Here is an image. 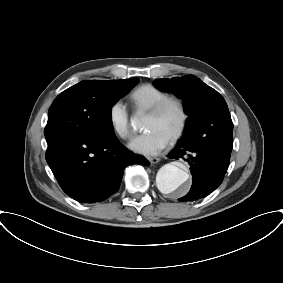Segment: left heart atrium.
<instances>
[{
    "mask_svg": "<svg viewBox=\"0 0 283 283\" xmlns=\"http://www.w3.org/2000/svg\"><path fill=\"white\" fill-rule=\"evenodd\" d=\"M168 143V138L156 130H148L131 140L129 148L143 155H156Z\"/></svg>",
    "mask_w": 283,
    "mask_h": 283,
    "instance_id": "obj_1",
    "label": "left heart atrium"
}]
</instances>
